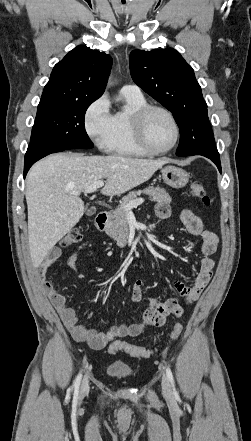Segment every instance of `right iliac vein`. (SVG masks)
Wrapping results in <instances>:
<instances>
[{"label": "right iliac vein", "mask_w": 251, "mask_h": 441, "mask_svg": "<svg viewBox=\"0 0 251 441\" xmlns=\"http://www.w3.org/2000/svg\"><path fill=\"white\" fill-rule=\"evenodd\" d=\"M88 391H89V382L88 379L85 377L81 385V396L85 395Z\"/></svg>", "instance_id": "1"}]
</instances>
